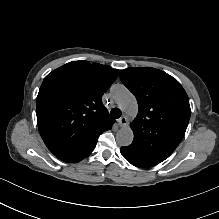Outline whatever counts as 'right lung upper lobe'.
<instances>
[{
  "mask_svg": "<svg viewBox=\"0 0 219 219\" xmlns=\"http://www.w3.org/2000/svg\"><path fill=\"white\" fill-rule=\"evenodd\" d=\"M118 73L107 65L73 61L45 77L36 100L37 123L44 143L55 156L87 152L111 129L115 120L102 96Z\"/></svg>",
  "mask_w": 219,
  "mask_h": 219,
  "instance_id": "cb5924a9",
  "label": "right lung upper lobe"
}]
</instances>
